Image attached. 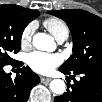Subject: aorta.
Here are the masks:
<instances>
[{
	"label": "aorta",
	"instance_id": "aorta-1",
	"mask_svg": "<svg viewBox=\"0 0 102 102\" xmlns=\"http://www.w3.org/2000/svg\"><path fill=\"white\" fill-rule=\"evenodd\" d=\"M32 43L35 48L42 51L52 52L56 48L54 39L45 33L35 34ZM50 88L54 94L61 95L65 91V82L61 79H54L50 83Z\"/></svg>",
	"mask_w": 102,
	"mask_h": 102
}]
</instances>
